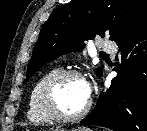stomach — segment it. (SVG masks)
Returning a JSON list of instances; mask_svg holds the SVG:
<instances>
[{"mask_svg": "<svg viewBox=\"0 0 147 131\" xmlns=\"http://www.w3.org/2000/svg\"><path fill=\"white\" fill-rule=\"evenodd\" d=\"M51 131H68L64 128H58V129H53ZM70 131H93L91 130L90 128H86V127H83V128H72Z\"/></svg>", "mask_w": 147, "mask_h": 131, "instance_id": "0dacf381", "label": "stomach"}]
</instances>
